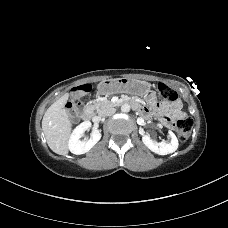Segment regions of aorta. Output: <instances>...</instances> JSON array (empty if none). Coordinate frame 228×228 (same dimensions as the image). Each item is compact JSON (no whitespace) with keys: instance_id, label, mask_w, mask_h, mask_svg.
I'll return each mask as SVG.
<instances>
[{"instance_id":"1","label":"aorta","mask_w":228,"mask_h":228,"mask_svg":"<svg viewBox=\"0 0 228 228\" xmlns=\"http://www.w3.org/2000/svg\"><path fill=\"white\" fill-rule=\"evenodd\" d=\"M121 111L124 112V113H127L130 111V105L125 103L121 106Z\"/></svg>"}]
</instances>
